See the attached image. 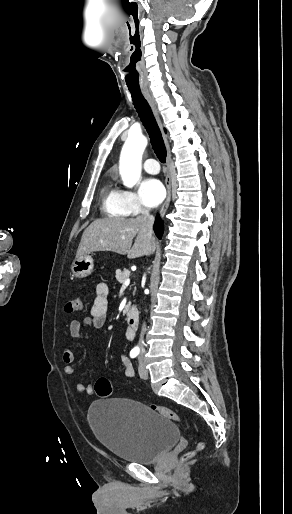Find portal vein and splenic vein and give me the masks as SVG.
<instances>
[{
	"instance_id": "18ae733b",
	"label": "portal vein and splenic vein",
	"mask_w": 292,
	"mask_h": 514,
	"mask_svg": "<svg viewBox=\"0 0 292 514\" xmlns=\"http://www.w3.org/2000/svg\"><path fill=\"white\" fill-rule=\"evenodd\" d=\"M130 284V280H126V282H124V286H129Z\"/></svg>"
}]
</instances>
